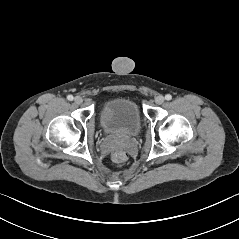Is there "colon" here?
I'll list each match as a JSON object with an SVG mask.
<instances>
[{
    "label": "colon",
    "mask_w": 239,
    "mask_h": 239,
    "mask_svg": "<svg viewBox=\"0 0 239 239\" xmlns=\"http://www.w3.org/2000/svg\"><path fill=\"white\" fill-rule=\"evenodd\" d=\"M111 158L116 163H124L128 159V154L123 149H116L112 152Z\"/></svg>",
    "instance_id": "5ec220e1"
}]
</instances>
